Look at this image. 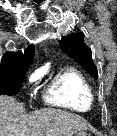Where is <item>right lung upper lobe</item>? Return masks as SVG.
Returning a JSON list of instances; mask_svg holds the SVG:
<instances>
[{"instance_id": "cb5924a9", "label": "right lung upper lobe", "mask_w": 117, "mask_h": 136, "mask_svg": "<svg viewBox=\"0 0 117 136\" xmlns=\"http://www.w3.org/2000/svg\"><path fill=\"white\" fill-rule=\"evenodd\" d=\"M34 50V46L30 45L24 54L19 51L5 53L2 57L1 68L29 67L33 62Z\"/></svg>"}]
</instances>
